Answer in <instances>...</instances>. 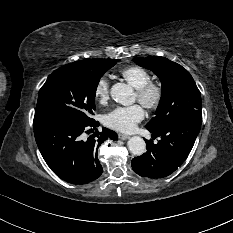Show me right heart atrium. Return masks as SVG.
<instances>
[{"label": "right heart atrium", "mask_w": 233, "mask_h": 233, "mask_svg": "<svg viewBox=\"0 0 233 233\" xmlns=\"http://www.w3.org/2000/svg\"><path fill=\"white\" fill-rule=\"evenodd\" d=\"M109 88L110 84L106 77L98 79L94 88V96L99 103H105L108 100Z\"/></svg>", "instance_id": "1"}]
</instances>
